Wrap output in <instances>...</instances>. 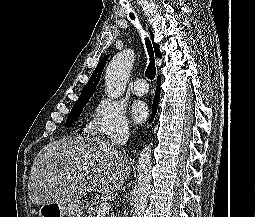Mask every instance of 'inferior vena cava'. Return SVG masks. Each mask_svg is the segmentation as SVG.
Masks as SVG:
<instances>
[{
  "label": "inferior vena cava",
  "instance_id": "inferior-vena-cava-1",
  "mask_svg": "<svg viewBox=\"0 0 255 217\" xmlns=\"http://www.w3.org/2000/svg\"><path fill=\"white\" fill-rule=\"evenodd\" d=\"M129 138V131L127 127H123L118 129L112 136H111V142L112 145H118L123 146L127 143Z\"/></svg>",
  "mask_w": 255,
  "mask_h": 217
}]
</instances>
